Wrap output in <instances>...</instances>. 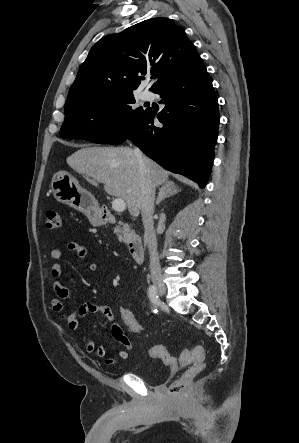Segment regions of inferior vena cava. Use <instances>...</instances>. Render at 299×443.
I'll return each mask as SVG.
<instances>
[{
	"label": "inferior vena cava",
	"mask_w": 299,
	"mask_h": 443,
	"mask_svg": "<svg viewBox=\"0 0 299 443\" xmlns=\"http://www.w3.org/2000/svg\"><path fill=\"white\" fill-rule=\"evenodd\" d=\"M139 163L140 173V195L142 222L144 226V239L147 243L150 255V271L152 276H160L161 268L157 252V238L154 230L153 213L155 200V184L145 165L143 155L138 148L134 149Z\"/></svg>",
	"instance_id": "602c4592"
}]
</instances>
